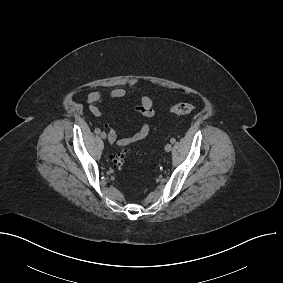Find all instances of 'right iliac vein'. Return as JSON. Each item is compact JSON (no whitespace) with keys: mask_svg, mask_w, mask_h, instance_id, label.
<instances>
[{"mask_svg":"<svg viewBox=\"0 0 283 283\" xmlns=\"http://www.w3.org/2000/svg\"><path fill=\"white\" fill-rule=\"evenodd\" d=\"M100 136H101L102 139H106V133L105 132H101Z\"/></svg>","mask_w":283,"mask_h":283,"instance_id":"right-iliac-vein-1","label":"right iliac vein"}]
</instances>
